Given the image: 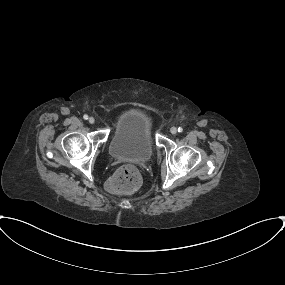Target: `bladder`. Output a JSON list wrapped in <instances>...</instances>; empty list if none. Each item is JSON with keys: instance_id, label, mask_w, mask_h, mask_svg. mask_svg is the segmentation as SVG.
<instances>
[{"instance_id": "31cf9c89", "label": "bladder", "mask_w": 285, "mask_h": 285, "mask_svg": "<svg viewBox=\"0 0 285 285\" xmlns=\"http://www.w3.org/2000/svg\"><path fill=\"white\" fill-rule=\"evenodd\" d=\"M109 154L116 159L147 161L154 153L152 123L145 109L130 110L114 127Z\"/></svg>"}]
</instances>
